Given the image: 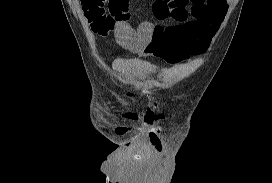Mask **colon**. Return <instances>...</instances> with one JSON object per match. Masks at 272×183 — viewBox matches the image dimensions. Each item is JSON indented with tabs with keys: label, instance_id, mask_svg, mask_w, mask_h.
I'll return each instance as SVG.
<instances>
[{
	"label": "colon",
	"instance_id": "colon-1",
	"mask_svg": "<svg viewBox=\"0 0 272 183\" xmlns=\"http://www.w3.org/2000/svg\"><path fill=\"white\" fill-rule=\"evenodd\" d=\"M107 0H81L84 14L93 30L106 35L116 30L127 11V0H109V11L106 10Z\"/></svg>",
	"mask_w": 272,
	"mask_h": 183
}]
</instances>
